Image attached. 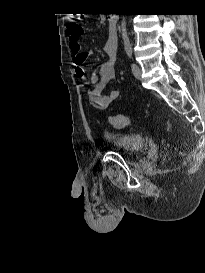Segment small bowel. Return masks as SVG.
I'll use <instances>...</instances> for the list:
<instances>
[{
    "label": "small bowel",
    "mask_w": 205,
    "mask_h": 273,
    "mask_svg": "<svg viewBox=\"0 0 205 273\" xmlns=\"http://www.w3.org/2000/svg\"><path fill=\"white\" fill-rule=\"evenodd\" d=\"M70 40V50L75 55L74 74L82 81L83 86L93 85L92 89H86V95L90 104L95 109L105 110L120 95L118 89H113L107 94L103 93L107 83L114 77V62L118 48L117 41H114L112 37H108L103 48L107 60L98 66L95 72L88 75L85 73L84 63L88 56L92 54V51H82L77 40L72 38Z\"/></svg>",
    "instance_id": "c3829d8e"
}]
</instances>
